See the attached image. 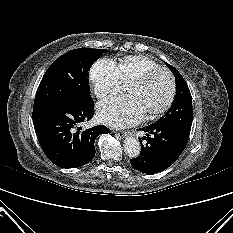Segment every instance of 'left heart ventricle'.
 <instances>
[{
	"mask_svg": "<svg viewBox=\"0 0 233 233\" xmlns=\"http://www.w3.org/2000/svg\"><path fill=\"white\" fill-rule=\"evenodd\" d=\"M170 91V81L163 72L151 76L143 84L130 83L127 92L139 100L144 113L157 110L166 101Z\"/></svg>",
	"mask_w": 233,
	"mask_h": 233,
	"instance_id": "left-heart-ventricle-1",
	"label": "left heart ventricle"
}]
</instances>
